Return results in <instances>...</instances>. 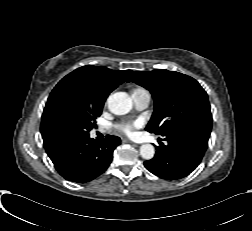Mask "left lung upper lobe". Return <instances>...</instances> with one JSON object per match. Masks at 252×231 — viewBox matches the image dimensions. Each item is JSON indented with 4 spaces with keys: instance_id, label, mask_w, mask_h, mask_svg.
I'll return each mask as SVG.
<instances>
[{
    "instance_id": "left-lung-upper-lobe-1",
    "label": "left lung upper lobe",
    "mask_w": 252,
    "mask_h": 231,
    "mask_svg": "<svg viewBox=\"0 0 252 231\" xmlns=\"http://www.w3.org/2000/svg\"><path fill=\"white\" fill-rule=\"evenodd\" d=\"M129 82L148 89L154 98V112L146 130L165 136L169 131L187 126H212L210 104L205 90L190 76L157 69L137 71Z\"/></svg>"
}]
</instances>
